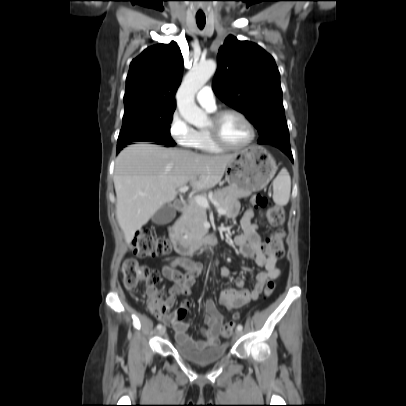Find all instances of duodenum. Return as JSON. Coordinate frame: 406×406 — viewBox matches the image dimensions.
<instances>
[{
    "label": "duodenum",
    "mask_w": 406,
    "mask_h": 406,
    "mask_svg": "<svg viewBox=\"0 0 406 406\" xmlns=\"http://www.w3.org/2000/svg\"><path fill=\"white\" fill-rule=\"evenodd\" d=\"M174 207L177 212L181 213L185 211L187 204L183 200H178L175 202ZM169 237L175 251L182 257H188L198 249L215 245L218 242L217 236L207 231L192 236L183 235L179 233L175 225L169 228Z\"/></svg>",
    "instance_id": "obj_1"
}]
</instances>
